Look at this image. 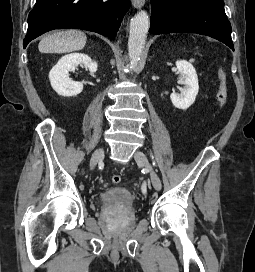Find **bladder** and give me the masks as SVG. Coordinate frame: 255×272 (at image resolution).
I'll return each instance as SVG.
<instances>
[{
	"label": "bladder",
	"mask_w": 255,
	"mask_h": 272,
	"mask_svg": "<svg viewBox=\"0 0 255 272\" xmlns=\"http://www.w3.org/2000/svg\"><path fill=\"white\" fill-rule=\"evenodd\" d=\"M103 207H122L130 209L134 205V196L125 187L115 186L107 189L99 196Z\"/></svg>",
	"instance_id": "1"
}]
</instances>
